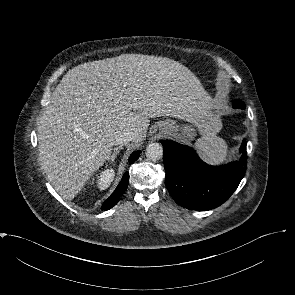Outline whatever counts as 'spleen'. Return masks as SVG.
<instances>
[{
  "mask_svg": "<svg viewBox=\"0 0 295 295\" xmlns=\"http://www.w3.org/2000/svg\"><path fill=\"white\" fill-rule=\"evenodd\" d=\"M195 147L198 149L201 156L209 163L219 164L227 160L228 146L224 139L207 134L199 138Z\"/></svg>",
  "mask_w": 295,
  "mask_h": 295,
  "instance_id": "obj_1",
  "label": "spleen"
}]
</instances>
